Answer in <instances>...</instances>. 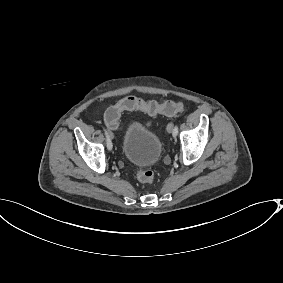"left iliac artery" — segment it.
Masks as SVG:
<instances>
[{
	"label": "left iliac artery",
	"instance_id": "left-iliac-artery-1",
	"mask_svg": "<svg viewBox=\"0 0 283 283\" xmlns=\"http://www.w3.org/2000/svg\"><path fill=\"white\" fill-rule=\"evenodd\" d=\"M178 135V126L175 125L174 129H173V136L176 137Z\"/></svg>",
	"mask_w": 283,
	"mask_h": 283
}]
</instances>
